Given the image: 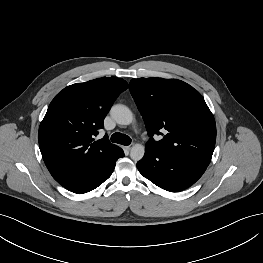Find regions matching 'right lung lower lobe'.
Returning <instances> with one entry per match:
<instances>
[{"instance_id": "98d812e1", "label": "right lung lower lobe", "mask_w": 263, "mask_h": 263, "mask_svg": "<svg viewBox=\"0 0 263 263\" xmlns=\"http://www.w3.org/2000/svg\"><path fill=\"white\" fill-rule=\"evenodd\" d=\"M121 157H124V152L120 148L111 159L101 162L90 172L63 187L77 194H83L97 188L111 176L116 161Z\"/></svg>"}]
</instances>
